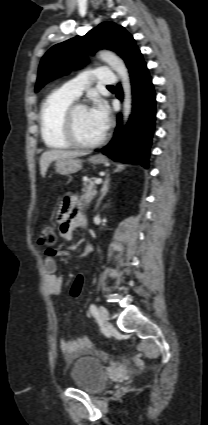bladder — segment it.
I'll return each mask as SVG.
<instances>
[{
    "label": "bladder",
    "instance_id": "1",
    "mask_svg": "<svg viewBox=\"0 0 208 425\" xmlns=\"http://www.w3.org/2000/svg\"><path fill=\"white\" fill-rule=\"evenodd\" d=\"M70 382L77 389L90 394L100 392L105 384V366L101 358L93 355H82L72 365Z\"/></svg>",
    "mask_w": 208,
    "mask_h": 425
}]
</instances>
